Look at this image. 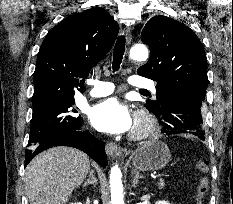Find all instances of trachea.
I'll return each mask as SVG.
<instances>
[{
    "mask_svg": "<svg viewBox=\"0 0 233 204\" xmlns=\"http://www.w3.org/2000/svg\"><path fill=\"white\" fill-rule=\"evenodd\" d=\"M124 52H125V36L121 35L118 37L114 47V55L112 62L113 64L112 68L114 72L119 70ZM140 91H146V90L140 89Z\"/></svg>",
    "mask_w": 233,
    "mask_h": 204,
    "instance_id": "trachea-1",
    "label": "trachea"
}]
</instances>
